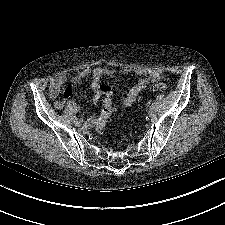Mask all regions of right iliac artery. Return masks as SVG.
I'll list each match as a JSON object with an SVG mask.
<instances>
[{
    "label": "right iliac artery",
    "instance_id": "obj_1",
    "mask_svg": "<svg viewBox=\"0 0 225 225\" xmlns=\"http://www.w3.org/2000/svg\"><path fill=\"white\" fill-rule=\"evenodd\" d=\"M74 120H77V117L74 116Z\"/></svg>",
    "mask_w": 225,
    "mask_h": 225
}]
</instances>
